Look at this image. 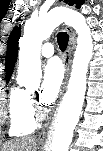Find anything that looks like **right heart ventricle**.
<instances>
[{"mask_svg": "<svg viewBox=\"0 0 103 151\" xmlns=\"http://www.w3.org/2000/svg\"><path fill=\"white\" fill-rule=\"evenodd\" d=\"M10 129L13 137L25 136L33 133L37 127V118L30 102L27 90L13 86L9 99Z\"/></svg>", "mask_w": 103, "mask_h": 151, "instance_id": "1", "label": "right heart ventricle"}]
</instances>
